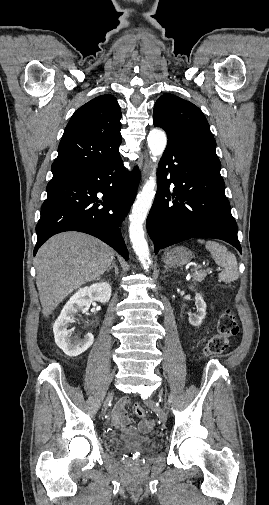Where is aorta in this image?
<instances>
[{"mask_svg":"<svg viewBox=\"0 0 269 505\" xmlns=\"http://www.w3.org/2000/svg\"><path fill=\"white\" fill-rule=\"evenodd\" d=\"M147 142L152 160L156 163L165 150L167 136L163 130L154 128L149 132ZM155 186L156 168L153 167L149 179L145 182L142 190L138 194L129 216V236L132 247L145 270L149 269L150 253L148 243L145 239L143 223L153 203Z\"/></svg>","mask_w":269,"mask_h":505,"instance_id":"aorta-1","label":"aorta"}]
</instances>
